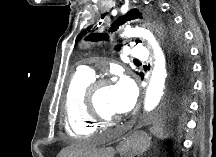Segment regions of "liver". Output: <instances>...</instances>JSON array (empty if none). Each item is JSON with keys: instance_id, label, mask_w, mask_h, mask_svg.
I'll return each mask as SVG.
<instances>
[{"instance_id": "1", "label": "liver", "mask_w": 216, "mask_h": 157, "mask_svg": "<svg viewBox=\"0 0 216 157\" xmlns=\"http://www.w3.org/2000/svg\"><path fill=\"white\" fill-rule=\"evenodd\" d=\"M112 155L111 148L96 149L87 142H78L63 149L58 157H106Z\"/></svg>"}]
</instances>
